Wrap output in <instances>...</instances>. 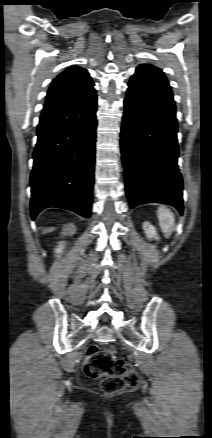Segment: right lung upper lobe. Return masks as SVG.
Returning <instances> with one entry per match:
<instances>
[{
    "label": "right lung upper lobe",
    "instance_id": "obj_1",
    "mask_svg": "<svg viewBox=\"0 0 212 438\" xmlns=\"http://www.w3.org/2000/svg\"><path fill=\"white\" fill-rule=\"evenodd\" d=\"M86 69L71 67L59 74L47 92L44 108L78 103L96 94Z\"/></svg>",
    "mask_w": 212,
    "mask_h": 438
}]
</instances>
